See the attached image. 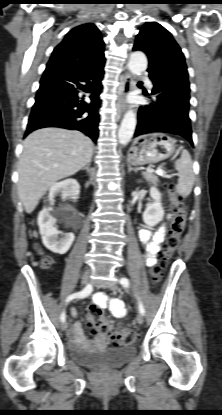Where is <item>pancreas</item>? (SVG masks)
I'll use <instances>...</instances> for the list:
<instances>
[{
    "label": "pancreas",
    "instance_id": "cf45deb5",
    "mask_svg": "<svg viewBox=\"0 0 222 415\" xmlns=\"http://www.w3.org/2000/svg\"><path fill=\"white\" fill-rule=\"evenodd\" d=\"M143 176L147 181H149L153 184H157V182L159 181L158 177L153 173L146 172V173H143Z\"/></svg>",
    "mask_w": 222,
    "mask_h": 415
}]
</instances>
